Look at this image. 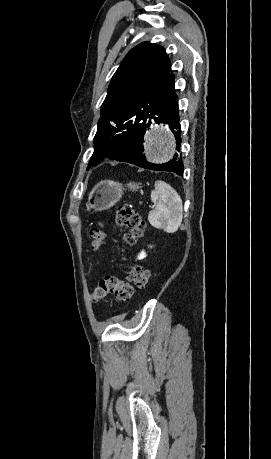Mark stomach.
<instances>
[{
  "instance_id": "1",
  "label": "stomach",
  "mask_w": 271,
  "mask_h": 459,
  "mask_svg": "<svg viewBox=\"0 0 271 459\" xmlns=\"http://www.w3.org/2000/svg\"><path fill=\"white\" fill-rule=\"evenodd\" d=\"M130 190L137 192L141 184H134L130 182L127 184ZM123 186L118 182H112V180H102L99 184H96L92 188L87 202V210H94V212H101V210H109L112 206H115L123 196Z\"/></svg>"
}]
</instances>
